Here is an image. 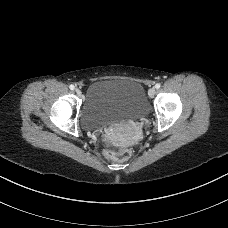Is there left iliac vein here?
Here are the masks:
<instances>
[{"label": "left iliac vein", "instance_id": "obj_1", "mask_svg": "<svg viewBox=\"0 0 228 228\" xmlns=\"http://www.w3.org/2000/svg\"><path fill=\"white\" fill-rule=\"evenodd\" d=\"M155 93H156L155 88H150L149 91H148V95H149L151 98L154 97Z\"/></svg>", "mask_w": 228, "mask_h": 228}]
</instances>
